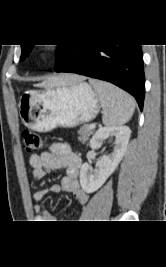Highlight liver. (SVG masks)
Wrapping results in <instances>:
<instances>
[{"instance_id": "1", "label": "liver", "mask_w": 166, "mask_h": 267, "mask_svg": "<svg viewBox=\"0 0 166 267\" xmlns=\"http://www.w3.org/2000/svg\"><path fill=\"white\" fill-rule=\"evenodd\" d=\"M83 80L82 77L73 74L53 76L39 84L40 87H54L63 85H73Z\"/></svg>"}]
</instances>
